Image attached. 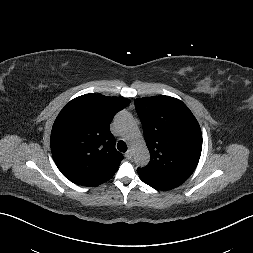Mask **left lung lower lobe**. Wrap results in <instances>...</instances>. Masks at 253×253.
Returning a JSON list of instances; mask_svg holds the SVG:
<instances>
[{"instance_id":"0a47b994","label":"left lung lower lobe","mask_w":253,"mask_h":253,"mask_svg":"<svg viewBox=\"0 0 253 253\" xmlns=\"http://www.w3.org/2000/svg\"><path fill=\"white\" fill-rule=\"evenodd\" d=\"M142 181L145 182L146 184L150 185L151 187H153L155 189H159V190H170V189L177 187L176 185L169 184V183L150 182V181H146L144 179H142Z\"/></svg>"}]
</instances>
